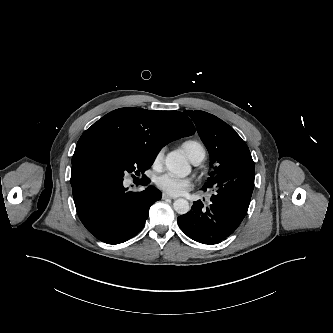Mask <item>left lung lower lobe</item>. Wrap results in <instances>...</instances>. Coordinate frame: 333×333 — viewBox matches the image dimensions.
Listing matches in <instances>:
<instances>
[{
	"label": "left lung lower lobe",
	"instance_id": "obj_1",
	"mask_svg": "<svg viewBox=\"0 0 333 333\" xmlns=\"http://www.w3.org/2000/svg\"><path fill=\"white\" fill-rule=\"evenodd\" d=\"M236 170V171H234ZM237 175L235 179H232ZM255 168L251 155L228 164L216 176L211 204L195 201L191 210L177 218L181 230L203 244H217L230 236L244 219L254 188Z\"/></svg>",
	"mask_w": 333,
	"mask_h": 333
}]
</instances>
